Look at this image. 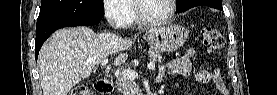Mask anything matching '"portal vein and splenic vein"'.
Instances as JSON below:
<instances>
[{
  "mask_svg": "<svg viewBox=\"0 0 277 95\" xmlns=\"http://www.w3.org/2000/svg\"><path fill=\"white\" fill-rule=\"evenodd\" d=\"M107 63H108V59H104V60L101 61L100 65L104 66ZM147 67H148V69H155V63L150 62ZM119 77L126 78V79H129V80H134L138 77V73L135 72L134 70L126 69V70H123L122 72H120Z\"/></svg>",
  "mask_w": 277,
  "mask_h": 95,
  "instance_id": "18ae733b",
  "label": "portal vein and splenic vein"
}]
</instances>
